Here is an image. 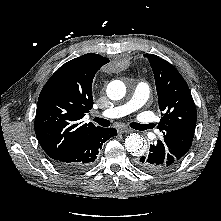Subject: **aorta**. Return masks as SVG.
Segmentation results:
<instances>
[{
	"label": "aorta",
	"instance_id": "762f6f07",
	"mask_svg": "<svg viewBox=\"0 0 221 221\" xmlns=\"http://www.w3.org/2000/svg\"><path fill=\"white\" fill-rule=\"evenodd\" d=\"M106 92L109 99L120 100L126 94V86L122 81L114 80L108 84ZM125 148L133 156H142L147 145L141 135L133 133L126 137Z\"/></svg>",
	"mask_w": 221,
	"mask_h": 221
}]
</instances>
